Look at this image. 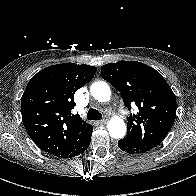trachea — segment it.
I'll list each match as a JSON object with an SVG mask.
<instances>
[{
	"label": "trachea",
	"mask_w": 196,
	"mask_h": 196,
	"mask_svg": "<svg viewBox=\"0 0 196 196\" xmlns=\"http://www.w3.org/2000/svg\"><path fill=\"white\" fill-rule=\"evenodd\" d=\"M87 119L88 120H101L102 114L98 110L91 108L88 110Z\"/></svg>",
	"instance_id": "trachea-1"
}]
</instances>
